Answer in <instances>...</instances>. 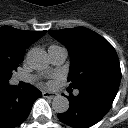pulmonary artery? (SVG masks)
<instances>
[{"mask_svg":"<svg viewBox=\"0 0 128 128\" xmlns=\"http://www.w3.org/2000/svg\"><path fill=\"white\" fill-rule=\"evenodd\" d=\"M48 53H49L51 63L54 65L63 64L68 55L67 50L65 48L59 47V46L50 47L48 50ZM26 80H28V78L23 77V76L16 77V81H26ZM78 93H79V91L76 90L75 94H78Z\"/></svg>","mask_w":128,"mask_h":128,"instance_id":"e3ab8cb5","label":"pulmonary artery"}]
</instances>
